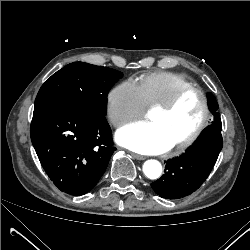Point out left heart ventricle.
I'll return each mask as SVG.
<instances>
[{
	"label": "left heart ventricle",
	"instance_id": "1",
	"mask_svg": "<svg viewBox=\"0 0 250 250\" xmlns=\"http://www.w3.org/2000/svg\"><path fill=\"white\" fill-rule=\"evenodd\" d=\"M202 111L200 97L196 93H190L170 113L151 111L149 121L158 125L168 139L176 144L197 128L202 118Z\"/></svg>",
	"mask_w": 250,
	"mask_h": 250
}]
</instances>
